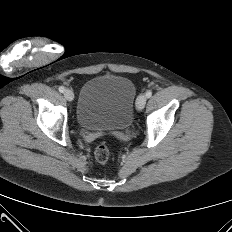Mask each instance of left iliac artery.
Instances as JSON below:
<instances>
[{
  "instance_id": "obj_1",
  "label": "left iliac artery",
  "mask_w": 232,
  "mask_h": 232,
  "mask_svg": "<svg viewBox=\"0 0 232 232\" xmlns=\"http://www.w3.org/2000/svg\"><path fill=\"white\" fill-rule=\"evenodd\" d=\"M152 96V91L151 90H148L147 92H146V97L147 98H150Z\"/></svg>"
}]
</instances>
